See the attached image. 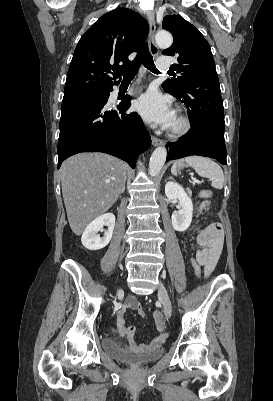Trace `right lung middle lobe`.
<instances>
[{
  "mask_svg": "<svg viewBox=\"0 0 273 401\" xmlns=\"http://www.w3.org/2000/svg\"><path fill=\"white\" fill-rule=\"evenodd\" d=\"M108 95V91H98V92H91L81 95H73V96H66L63 97L62 101V108L68 107L75 103L83 102V101H97L102 100L104 97Z\"/></svg>",
  "mask_w": 273,
  "mask_h": 401,
  "instance_id": "1",
  "label": "right lung middle lobe"
}]
</instances>
